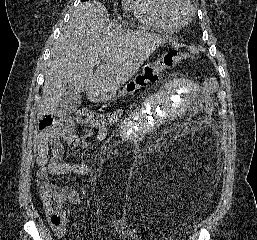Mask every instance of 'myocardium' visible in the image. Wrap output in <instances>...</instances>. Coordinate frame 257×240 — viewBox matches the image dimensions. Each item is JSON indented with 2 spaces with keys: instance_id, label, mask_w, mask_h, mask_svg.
<instances>
[{
  "instance_id": "myocardium-1",
  "label": "myocardium",
  "mask_w": 257,
  "mask_h": 240,
  "mask_svg": "<svg viewBox=\"0 0 257 240\" xmlns=\"http://www.w3.org/2000/svg\"><path fill=\"white\" fill-rule=\"evenodd\" d=\"M167 3L168 14L177 25L182 26L190 22L195 11L194 5L190 0H167ZM181 6H184L187 9L184 16H181L178 12L179 7Z\"/></svg>"
}]
</instances>
